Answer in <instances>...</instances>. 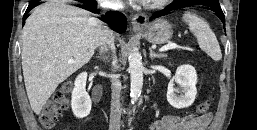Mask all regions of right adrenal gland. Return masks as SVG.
Segmentation results:
<instances>
[{"label": "right adrenal gland", "mask_w": 257, "mask_h": 130, "mask_svg": "<svg viewBox=\"0 0 257 130\" xmlns=\"http://www.w3.org/2000/svg\"><path fill=\"white\" fill-rule=\"evenodd\" d=\"M97 58L102 59L104 62L106 60H108L107 49L106 48H101L100 52H99V56Z\"/></svg>", "instance_id": "2a0ac1e0"}]
</instances>
